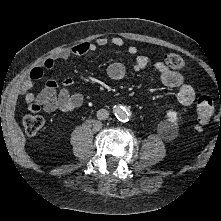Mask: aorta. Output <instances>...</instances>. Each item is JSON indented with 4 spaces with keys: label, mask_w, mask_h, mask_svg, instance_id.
I'll return each mask as SVG.
<instances>
[{
    "label": "aorta",
    "mask_w": 221,
    "mask_h": 221,
    "mask_svg": "<svg viewBox=\"0 0 221 221\" xmlns=\"http://www.w3.org/2000/svg\"><path fill=\"white\" fill-rule=\"evenodd\" d=\"M114 114L120 121H126L129 118V112L123 106H114Z\"/></svg>",
    "instance_id": "obj_1"
}]
</instances>
